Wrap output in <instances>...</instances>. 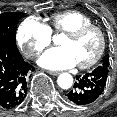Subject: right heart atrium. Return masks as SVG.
Instances as JSON below:
<instances>
[{"instance_id": "obj_1", "label": "right heart atrium", "mask_w": 117, "mask_h": 117, "mask_svg": "<svg viewBox=\"0 0 117 117\" xmlns=\"http://www.w3.org/2000/svg\"><path fill=\"white\" fill-rule=\"evenodd\" d=\"M16 40L29 59H35L50 43L49 27L35 17L25 19L18 27Z\"/></svg>"}]
</instances>
